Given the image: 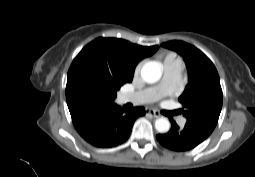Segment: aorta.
I'll use <instances>...</instances> for the list:
<instances>
[{"instance_id": "aorta-1", "label": "aorta", "mask_w": 255, "mask_h": 177, "mask_svg": "<svg viewBox=\"0 0 255 177\" xmlns=\"http://www.w3.org/2000/svg\"><path fill=\"white\" fill-rule=\"evenodd\" d=\"M161 69L154 63H146L141 69V78L144 82L153 84L160 80ZM155 129L160 133H166L170 129V122L167 118H158L155 121Z\"/></svg>"}]
</instances>
